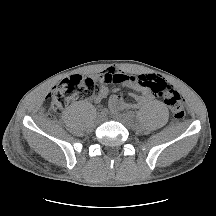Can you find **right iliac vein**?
<instances>
[{"label": "right iliac vein", "mask_w": 216, "mask_h": 216, "mask_svg": "<svg viewBox=\"0 0 216 216\" xmlns=\"http://www.w3.org/2000/svg\"><path fill=\"white\" fill-rule=\"evenodd\" d=\"M104 120H105V116H104L103 114L99 113V114L97 115V119H96L97 123L100 124V123H102Z\"/></svg>", "instance_id": "obj_1"}]
</instances>
